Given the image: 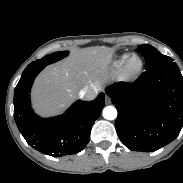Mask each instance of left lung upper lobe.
<instances>
[{"instance_id": "left-lung-upper-lobe-1", "label": "left lung upper lobe", "mask_w": 183, "mask_h": 183, "mask_svg": "<svg viewBox=\"0 0 183 183\" xmlns=\"http://www.w3.org/2000/svg\"><path fill=\"white\" fill-rule=\"evenodd\" d=\"M137 51L145 57L146 70L174 63L172 58L161 54L156 48L147 44L140 45Z\"/></svg>"}]
</instances>
